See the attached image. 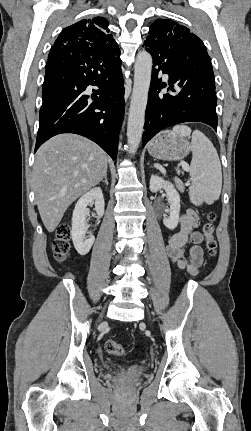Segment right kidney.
Returning a JSON list of instances; mask_svg holds the SVG:
<instances>
[{"mask_svg": "<svg viewBox=\"0 0 251 431\" xmlns=\"http://www.w3.org/2000/svg\"><path fill=\"white\" fill-rule=\"evenodd\" d=\"M89 204H95V211L98 217L104 215L105 203L100 187H95L82 195L77 201L73 211L71 236L74 247L80 255H86L95 241L93 235L85 238L86 218L89 214L87 206Z\"/></svg>", "mask_w": 251, "mask_h": 431, "instance_id": "obj_1", "label": "right kidney"}]
</instances>
